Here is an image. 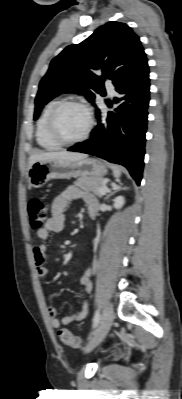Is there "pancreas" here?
<instances>
[{
	"mask_svg": "<svg viewBox=\"0 0 182 399\" xmlns=\"http://www.w3.org/2000/svg\"><path fill=\"white\" fill-rule=\"evenodd\" d=\"M74 184L84 191L93 192L98 197L102 196L99 191L100 188L104 187L102 178L80 177Z\"/></svg>",
	"mask_w": 182,
	"mask_h": 399,
	"instance_id": "1",
	"label": "pancreas"
}]
</instances>
